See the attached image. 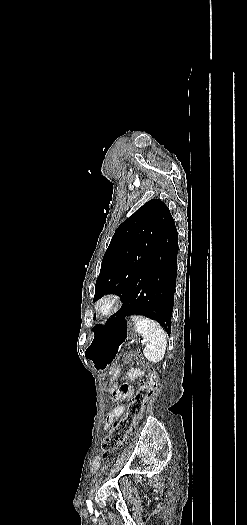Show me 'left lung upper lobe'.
I'll return each instance as SVG.
<instances>
[{
	"label": "left lung upper lobe",
	"mask_w": 247,
	"mask_h": 525,
	"mask_svg": "<svg viewBox=\"0 0 247 525\" xmlns=\"http://www.w3.org/2000/svg\"><path fill=\"white\" fill-rule=\"evenodd\" d=\"M168 207L159 199L141 206L116 229L96 281L94 301L104 294H127L142 271L152 247L172 221Z\"/></svg>",
	"instance_id": "1"
}]
</instances>
